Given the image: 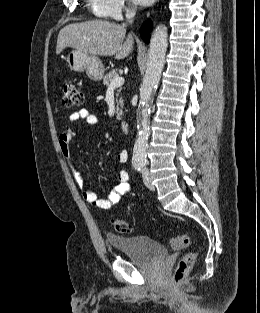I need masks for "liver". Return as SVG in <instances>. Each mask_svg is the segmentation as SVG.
<instances>
[{
    "label": "liver",
    "instance_id": "1",
    "mask_svg": "<svg viewBox=\"0 0 260 313\" xmlns=\"http://www.w3.org/2000/svg\"><path fill=\"white\" fill-rule=\"evenodd\" d=\"M125 35V25L104 20L69 24L58 34L56 54L71 47L93 55L124 59L132 52L134 44L132 34L123 42Z\"/></svg>",
    "mask_w": 260,
    "mask_h": 313
}]
</instances>
